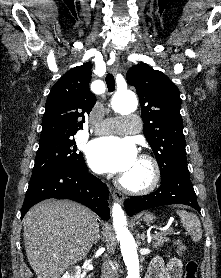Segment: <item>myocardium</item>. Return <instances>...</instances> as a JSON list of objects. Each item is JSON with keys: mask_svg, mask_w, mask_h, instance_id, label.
Segmentation results:
<instances>
[{"mask_svg": "<svg viewBox=\"0 0 221 278\" xmlns=\"http://www.w3.org/2000/svg\"><path fill=\"white\" fill-rule=\"evenodd\" d=\"M140 160L147 162L151 169V178L148 183L141 187L128 185L122 177L117 179V186L120 190L128 194L141 195L153 192L161 180V168L158 161L149 154L142 153L138 157Z\"/></svg>", "mask_w": 221, "mask_h": 278, "instance_id": "myocardium-1", "label": "myocardium"}]
</instances>
